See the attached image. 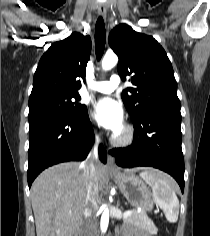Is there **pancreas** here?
Wrapping results in <instances>:
<instances>
[{"label":"pancreas","instance_id":"pancreas-1","mask_svg":"<svg viewBox=\"0 0 210 236\" xmlns=\"http://www.w3.org/2000/svg\"><path fill=\"white\" fill-rule=\"evenodd\" d=\"M124 222L143 228L150 233H157V228L155 227L153 221L149 219L144 211L137 212L132 210V214L125 217Z\"/></svg>","mask_w":210,"mask_h":236}]
</instances>
